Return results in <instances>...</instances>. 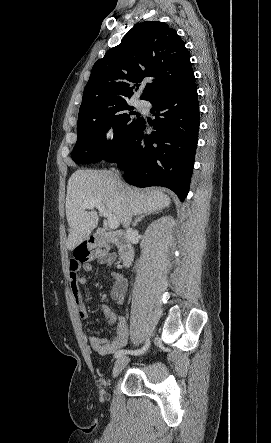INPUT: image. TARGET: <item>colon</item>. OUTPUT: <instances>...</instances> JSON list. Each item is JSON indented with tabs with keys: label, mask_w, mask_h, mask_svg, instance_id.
<instances>
[{
	"label": "colon",
	"mask_w": 271,
	"mask_h": 443,
	"mask_svg": "<svg viewBox=\"0 0 271 443\" xmlns=\"http://www.w3.org/2000/svg\"><path fill=\"white\" fill-rule=\"evenodd\" d=\"M94 259L109 261L111 259V248L105 241L92 237L82 242L75 249L72 260L82 264Z\"/></svg>",
	"instance_id": "1"
}]
</instances>
